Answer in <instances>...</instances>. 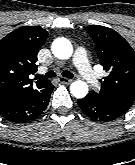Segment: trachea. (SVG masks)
Returning <instances> with one entry per match:
<instances>
[{"label":"trachea","instance_id":"1","mask_svg":"<svg viewBox=\"0 0 135 165\" xmlns=\"http://www.w3.org/2000/svg\"><path fill=\"white\" fill-rule=\"evenodd\" d=\"M62 75L69 79L73 78V74L69 71H63ZM55 76H56V73L54 71H49L44 76L38 75L37 78L49 79V78H54Z\"/></svg>","mask_w":135,"mask_h":165}]
</instances>
